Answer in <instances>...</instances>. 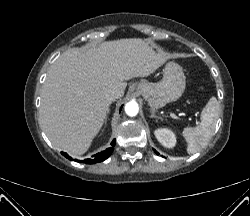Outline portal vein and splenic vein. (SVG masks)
<instances>
[{"instance_id":"18ae733b","label":"portal vein and splenic vein","mask_w":250,"mask_h":216,"mask_svg":"<svg viewBox=\"0 0 250 216\" xmlns=\"http://www.w3.org/2000/svg\"><path fill=\"white\" fill-rule=\"evenodd\" d=\"M172 117H175V115H174V114H172Z\"/></svg>"}]
</instances>
